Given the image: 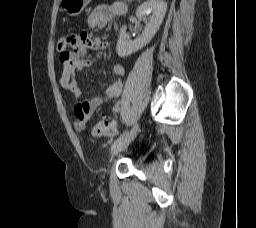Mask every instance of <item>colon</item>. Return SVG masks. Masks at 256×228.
<instances>
[{
  "label": "colon",
  "mask_w": 256,
  "mask_h": 228,
  "mask_svg": "<svg viewBox=\"0 0 256 228\" xmlns=\"http://www.w3.org/2000/svg\"><path fill=\"white\" fill-rule=\"evenodd\" d=\"M65 44V37H61L59 38L58 40V46L61 48L63 47ZM109 121H107L106 119H101L99 120L94 126H93V129H92V133L94 136H100L102 134H104L107 129H108V126H109Z\"/></svg>",
  "instance_id": "colon-1"
}]
</instances>
